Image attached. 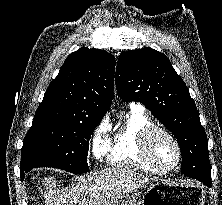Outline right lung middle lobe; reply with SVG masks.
<instances>
[{"mask_svg":"<svg viewBox=\"0 0 222 205\" xmlns=\"http://www.w3.org/2000/svg\"><path fill=\"white\" fill-rule=\"evenodd\" d=\"M101 119L34 117L24 138L20 168L54 167L74 174L87 172L89 140Z\"/></svg>","mask_w":222,"mask_h":205,"instance_id":"obj_1","label":"right lung middle lobe"}]
</instances>
